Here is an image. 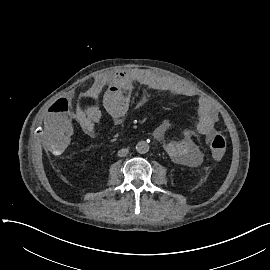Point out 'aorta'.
<instances>
[{
	"label": "aorta",
	"mask_w": 270,
	"mask_h": 270,
	"mask_svg": "<svg viewBox=\"0 0 270 270\" xmlns=\"http://www.w3.org/2000/svg\"><path fill=\"white\" fill-rule=\"evenodd\" d=\"M150 146L147 142L145 141H140L136 144V150L140 154H145L149 151Z\"/></svg>",
	"instance_id": "1"
}]
</instances>
